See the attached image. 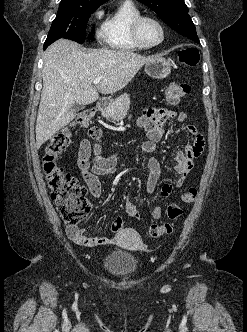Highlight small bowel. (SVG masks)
I'll return each mask as SVG.
<instances>
[{"label": "small bowel", "instance_id": "1", "mask_svg": "<svg viewBox=\"0 0 247 332\" xmlns=\"http://www.w3.org/2000/svg\"><path fill=\"white\" fill-rule=\"evenodd\" d=\"M178 120L184 122L187 119L185 112H176L166 108H147L143 115L138 118L137 126L141 128L146 136V140L141 145V150L148 155L146 166L149 171V177L146 185L147 193L154 192L161 174V168L155 154L157 152V144L164 134V125L170 120ZM187 131L191 136V141L186 145L184 150L176 152L174 166L175 172L178 174L174 185L180 188L184 185L187 175L193 167V161L199 157L203 151L204 138L198 132L196 126L188 125ZM102 131L99 128H91L88 136L84 139L79 148L78 168L82 178L87 184L94 198H100L102 195L101 183L99 176L112 175L116 171L118 157L115 154L103 156L101 153ZM91 156L92 162H91ZM173 186L164 184L160 191V198L166 200L172 193ZM126 212L131 218H140L141 214L138 207L130 200L125 204ZM162 209L156 206L151 215L154 219H159ZM68 238L75 244L84 247H99L110 245L114 242L111 237H92L88 236L86 230L78 225H69L66 229Z\"/></svg>", "mask_w": 247, "mask_h": 332}]
</instances>
